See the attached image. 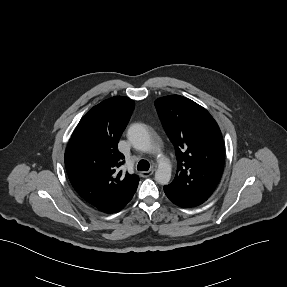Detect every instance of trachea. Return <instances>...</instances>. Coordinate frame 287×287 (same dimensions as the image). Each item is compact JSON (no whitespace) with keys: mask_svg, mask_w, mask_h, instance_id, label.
Wrapping results in <instances>:
<instances>
[{"mask_svg":"<svg viewBox=\"0 0 287 287\" xmlns=\"http://www.w3.org/2000/svg\"><path fill=\"white\" fill-rule=\"evenodd\" d=\"M150 168L149 162L146 160H140L137 169L140 171H148Z\"/></svg>","mask_w":287,"mask_h":287,"instance_id":"1","label":"trachea"}]
</instances>
